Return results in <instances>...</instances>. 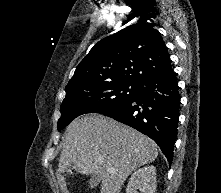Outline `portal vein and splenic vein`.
<instances>
[{
    "instance_id": "obj_1",
    "label": "portal vein and splenic vein",
    "mask_w": 221,
    "mask_h": 193,
    "mask_svg": "<svg viewBox=\"0 0 221 193\" xmlns=\"http://www.w3.org/2000/svg\"><path fill=\"white\" fill-rule=\"evenodd\" d=\"M100 162H102V160H100ZM107 170H108V171H114V169L111 168V167H109Z\"/></svg>"
}]
</instances>
